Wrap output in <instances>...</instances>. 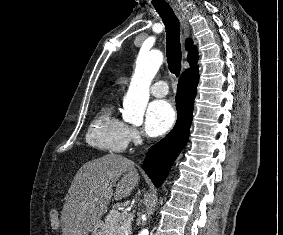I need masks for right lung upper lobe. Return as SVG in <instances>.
Listing matches in <instances>:
<instances>
[{
  "mask_svg": "<svg viewBox=\"0 0 283 235\" xmlns=\"http://www.w3.org/2000/svg\"><path fill=\"white\" fill-rule=\"evenodd\" d=\"M186 49L189 50L188 52V62L190 63V65L194 66V68L192 69H187L182 75H186V74H192V73H196L198 70V67L195 66L197 63V50L195 48V46L192 45V41L190 39L187 40L186 42Z\"/></svg>",
  "mask_w": 283,
  "mask_h": 235,
  "instance_id": "right-lung-upper-lobe-1",
  "label": "right lung upper lobe"
}]
</instances>
